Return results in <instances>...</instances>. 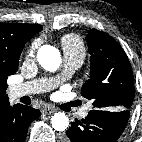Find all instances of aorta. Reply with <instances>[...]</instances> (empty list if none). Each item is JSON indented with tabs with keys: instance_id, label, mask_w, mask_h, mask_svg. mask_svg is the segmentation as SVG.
Here are the masks:
<instances>
[{
	"instance_id": "obj_1",
	"label": "aorta",
	"mask_w": 142,
	"mask_h": 142,
	"mask_svg": "<svg viewBox=\"0 0 142 142\" xmlns=\"http://www.w3.org/2000/svg\"><path fill=\"white\" fill-rule=\"evenodd\" d=\"M37 60L45 70L56 71L61 64L60 52L52 45H43L38 49ZM51 125L56 131H64L69 126V118L65 113H55Z\"/></svg>"
}]
</instances>
